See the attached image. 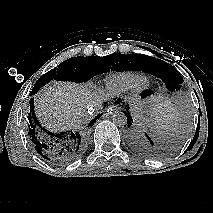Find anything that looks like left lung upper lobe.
<instances>
[{"instance_id":"1","label":"left lung upper lobe","mask_w":213,"mask_h":213,"mask_svg":"<svg viewBox=\"0 0 213 213\" xmlns=\"http://www.w3.org/2000/svg\"><path fill=\"white\" fill-rule=\"evenodd\" d=\"M131 69L141 70L162 79L172 90H177L184 82L181 74L170 64L144 54H134L130 59Z\"/></svg>"}]
</instances>
